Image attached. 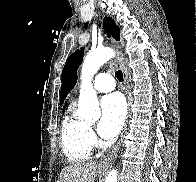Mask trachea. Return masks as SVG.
Segmentation results:
<instances>
[{
	"instance_id": "trachea-1",
	"label": "trachea",
	"mask_w": 196,
	"mask_h": 182,
	"mask_svg": "<svg viewBox=\"0 0 196 182\" xmlns=\"http://www.w3.org/2000/svg\"><path fill=\"white\" fill-rule=\"evenodd\" d=\"M115 76L117 77V79H118L120 82L123 81V73H122L120 70H118V71L115 72Z\"/></svg>"
}]
</instances>
